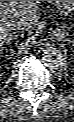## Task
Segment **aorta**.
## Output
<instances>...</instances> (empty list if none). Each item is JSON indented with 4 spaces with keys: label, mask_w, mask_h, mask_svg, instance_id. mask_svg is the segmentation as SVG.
I'll return each mask as SVG.
<instances>
[{
    "label": "aorta",
    "mask_w": 74,
    "mask_h": 122,
    "mask_svg": "<svg viewBox=\"0 0 74 122\" xmlns=\"http://www.w3.org/2000/svg\"><path fill=\"white\" fill-rule=\"evenodd\" d=\"M64 60V54L54 46H47L42 51V61L51 70L62 67Z\"/></svg>",
    "instance_id": "obj_1"
}]
</instances>
